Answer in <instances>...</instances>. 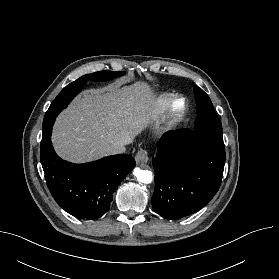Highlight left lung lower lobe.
<instances>
[{"instance_id": "0a47b994", "label": "left lung lower lobe", "mask_w": 279, "mask_h": 279, "mask_svg": "<svg viewBox=\"0 0 279 279\" xmlns=\"http://www.w3.org/2000/svg\"><path fill=\"white\" fill-rule=\"evenodd\" d=\"M225 147L190 130L167 132L153 159L152 207L166 219L200 210L214 197L223 177Z\"/></svg>"}]
</instances>
